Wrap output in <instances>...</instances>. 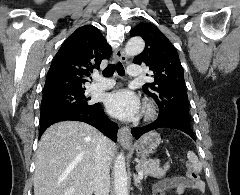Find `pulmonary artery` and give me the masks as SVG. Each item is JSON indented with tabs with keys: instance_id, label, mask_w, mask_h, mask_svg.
Here are the masks:
<instances>
[{
	"instance_id": "e3ab8cb5",
	"label": "pulmonary artery",
	"mask_w": 240,
	"mask_h": 195,
	"mask_svg": "<svg viewBox=\"0 0 240 195\" xmlns=\"http://www.w3.org/2000/svg\"><path fill=\"white\" fill-rule=\"evenodd\" d=\"M127 73L131 78H138V76H146L147 72H141L139 65H130ZM113 85V81L109 79L96 78L95 82L89 87L90 91H100L109 89Z\"/></svg>"
}]
</instances>
